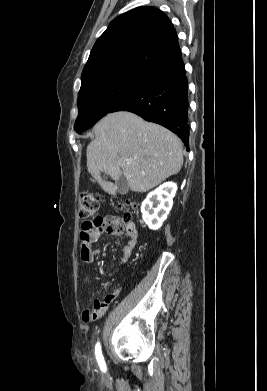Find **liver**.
Listing matches in <instances>:
<instances>
[{"mask_svg": "<svg viewBox=\"0 0 267 391\" xmlns=\"http://www.w3.org/2000/svg\"><path fill=\"white\" fill-rule=\"evenodd\" d=\"M87 147L88 172L101 188L114 194L123 174L134 192H146L177 174L183 165L181 140L166 128L128 111L109 113L94 126Z\"/></svg>", "mask_w": 267, "mask_h": 391, "instance_id": "obj_1", "label": "liver"}]
</instances>
